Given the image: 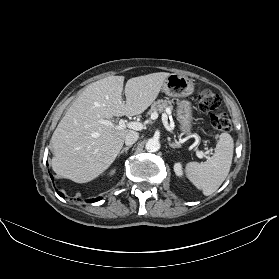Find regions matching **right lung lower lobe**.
Listing matches in <instances>:
<instances>
[{
  "mask_svg": "<svg viewBox=\"0 0 279 279\" xmlns=\"http://www.w3.org/2000/svg\"><path fill=\"white\" fill-rule=\"evenodd\" d=\"M51 178L53 179L52 175H51ZM59 196H63V194L61 192H58ZM101 198H96V199H90L88 200V202H96V201H99Z\"/></svg>",
  "mask_w": 279,
  "mask_h": 279,
  "instance_id": "1",
  "label": "right lung lower lobe"
}]
</instances>
